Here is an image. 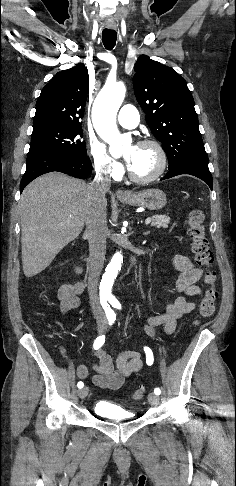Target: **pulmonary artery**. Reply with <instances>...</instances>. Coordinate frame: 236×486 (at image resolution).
<instances>
[{"mask_svg":"<svg viewBox=\"0 0 236 486\" xmlns=\"http://www.w3.org/2000/svg\"><path fill=\"white\" fill-rule=\"evenodd\" d=\"M117 120L122 127L132 129L139 123V113L133 105L127 104L120 109Z\"/></svg>","mask_w":236,"mask_h":486,"instance_id":"1","label":"pulmonary artery"}]
</instances>
